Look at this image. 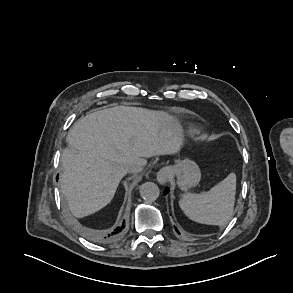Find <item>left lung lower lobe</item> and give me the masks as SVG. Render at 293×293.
I'll return each instance as SVG.
<instances>
[{
  "instance_id": "left-lung-lower-lobe-1",
  "label": "left lung lower lobe",
  "mask_w": 293,
  "mask_h": 293,
  "mask_svg": "<svg viewBox=\"0 0 293 293\" xmlns=\"http://www.w3.org/2000/svg\"><path fill=\"white\" fill-rule=\"evenodd\" d=\"M168 192V189H165L164 194ZM176 232L179 234V231L176 229Z\"/></svg>"
}]
</instances>
